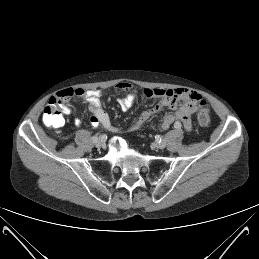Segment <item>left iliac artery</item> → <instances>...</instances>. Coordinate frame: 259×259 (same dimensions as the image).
Returning <instances> with one entry per match:
<instances>
[{"label": "left iliac artery", "mask_w": 259, "mask_h": 259, "mask_svg": "<svg viewBox=\"0 0 259 259\" xmlns=\"http://www.w3.org/2000/svg\"><path fill=\"white\" fill-rule=\"evenodd\" d=\"M174 127L177 128V129H179V128H181V124H180L179 122H176V123L174 124Z\"/></svg>", "instance_id": "left-iliac-artery-1"}]
</instances>
